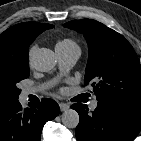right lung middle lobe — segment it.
<instances>
[{
	"label": "right lung middle lobe",
	"instance_id": "1",
	"mask_svg": "<svg viewBox=\"0 0 141 141\" xmlns=\"http://www.w3.org/2000/svg\"><path fill=\"white\" fill-rule=\"evenodd\" d=\"M28 62L0 61V107L18 100L21 90L17 84L28 78Z\"/></svg>",
	"mask_w": 141,
	"mask_h": 141
}]
</instances>
